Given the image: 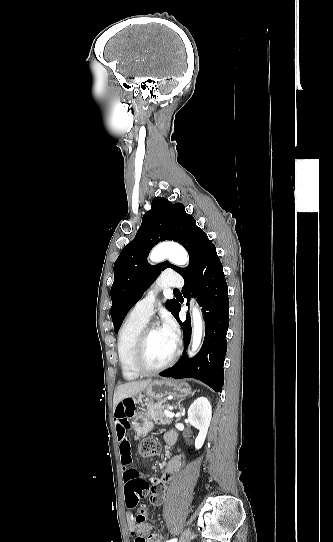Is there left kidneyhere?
<instances>
[{
	"label": "left kidney",
	"instance_id": "left-kidney-1",
	"mask_svg": "<svg viewBox=\"0 0 333 542\" xmlns=\"http://www.w3.org/2000/svg\"><path fill=\"white\" fill-rule=\"evenodd\" d=\"M211 418L212 408L209 400L203 398V396L194 400L188 410V422L196 430H199V434L195 440L196 450H200L205 442Z\"/></svg>",
	"mask_w": 333,
	"mask_h": 542
}]
</instances>
